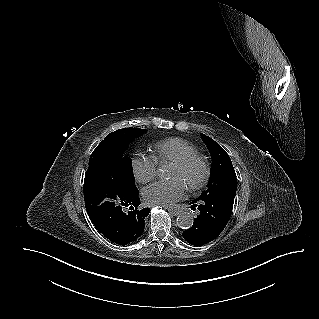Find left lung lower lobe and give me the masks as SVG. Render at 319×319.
Here are the masks:
<instances>
[{"label": "left lung lower lobe", "instance_id": "obj_1", "mask_svg": "<svg viewBox=\"0 0 319 319\" xmlns=\"http://www.w3.org/2000/svg\"><path fill=\"white\" fill-rule=\"evenodd\" d=\"M235 194L236 191H227L191 202V208L197 207L200 213L194 218L193 226L183 232V238L200 246L218 237L231 216Z\"/></svg>", "mask_w": 319, "mask_h": 319}]
</instances>
